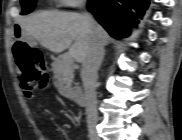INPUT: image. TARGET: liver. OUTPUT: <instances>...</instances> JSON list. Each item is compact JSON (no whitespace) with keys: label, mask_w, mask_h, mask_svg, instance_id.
Returning a JSON list of instances; mask_svg holds the SVG:
<instances>
[{"label":"liver","mask_w":182,"mask_h":140,"mask_svg":"<svg viewBox=\"0 0 182 140\" xmlns=\"http://www.w3.org/2000/svg\"><path fill=\"white\" fill-rule=\"evenodd\" d=\"M24 40L36 39L54 53L69 49L77 62H83L91 47V30L83 15L74 12L42 11L19 21ZM93 33L101 44L107 45L111 37L94 21Z\"/></svg>","instance_id":"1"}]
</instances>
